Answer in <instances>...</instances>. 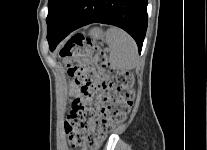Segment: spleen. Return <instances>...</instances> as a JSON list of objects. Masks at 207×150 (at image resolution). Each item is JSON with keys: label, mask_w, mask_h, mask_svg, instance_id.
I'll use <instances>...</instances> for the list:
<instances>
[{"label": "spleen", "mask_w": 207, "mask_h": 150, "mask_svg": "<svg viewBox=\"0 0 207 150\" xmlns=\"http://www.w3.org/2000/svg\"><path fill=\"white\" fill-rule=\"evenodd\" d=\"M106 43L110 48L109 61L113 69L128 71L136 67L137 45L124 30L109 28L106 32Z\"/></svg>", "instance_id": "spleen-1"}]
</instances>
